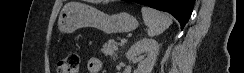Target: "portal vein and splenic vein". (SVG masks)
<instances>
[{
	"mask_svg": "<svg viewBox=\"0 0 244 73\" xmlns=\"http://www.w3.org/2000/svg\"><path fill=\"white\" fill-rule=\"evenodd\" d=\"M127 42V39H125V38H123V39H121V43H126Z\"/></svg>",
	"mask_w": 244,
	"mask_h": 73,
	"instance_id": "obj_1",
	"label": "portal vein and splenic vein"
}]
</instances>
